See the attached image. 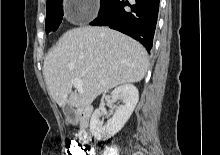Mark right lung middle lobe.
I'll use <instances>...</instances> for the list:
<instances>
[{"label":"right lung middle lobe","mask_w":220,"mask_h":155,"mask_svg":"<svg viewBox=\"0 0 220 155\" xmlns=\"http://www.w3.org/2000/svg\"><path fill=\"white\" fill-rule=\"evenodd\" d=\"M113 0H101L100 11L105 9L112 3ZM99 11V12H100ZM63 17L62 0H54L47 3L46 8V33L54 31L58 28Z\"/></svg>","instance_id":"1"}]
</instances>
